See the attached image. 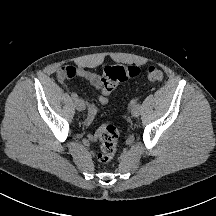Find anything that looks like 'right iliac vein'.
<instances>
[{"instance_id":"right-iliac-vein-1","label":"right iliac vein","mask_w":216,"mask_h":216,"mask_svg":"<svg viewBox=\"0 0 216 216\" xmlns=\"http://www.w3.org/2000/svg\"><path fill=\"white\" fill-rule=\"evenodd\" d=\"M75 107L78 111H83L85 109V103L82 99L75 100Z\"/></svg>"}]
</instances>
